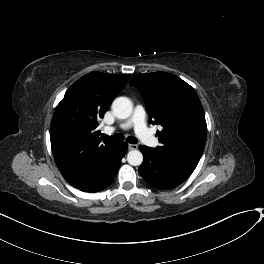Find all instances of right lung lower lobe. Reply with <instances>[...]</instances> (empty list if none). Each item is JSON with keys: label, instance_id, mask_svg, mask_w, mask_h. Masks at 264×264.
Returning <instances> with one entry per match:
<instances>
[{"label": "right lung lower lobe", "instance_id": "obj_1", "mask_svg": "<svg viewBox=\"0 0 264 264\" xmlns=\"http://www.w3.org/2000/svg\"><path fill=\"white\" fill-rule=\"evenodd\" d=\"M127 149L128 145L125 142H120L116 152V157L110 167L99 178L76 188L84 192H99L108 187L114 180L120 167L121 159L124 157Z\"/></svg>", "mask_w": 264, "mask_h": 264}]
</instances>
